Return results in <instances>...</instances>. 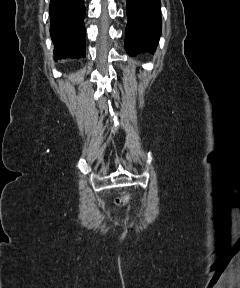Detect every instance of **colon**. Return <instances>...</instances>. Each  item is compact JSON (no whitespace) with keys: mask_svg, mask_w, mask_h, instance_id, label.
<instances>
[{"mask_svg":"<svg viewBox=\"0 0 240 288\" xmlns=\"http://www.w3.org/2000/svg\"><path fill=\"white\" fill-rule=\"evenodd\" d=\"M127 200H128V197H127V196H122V197H120L119 199H117V203H119V204H124V203L127 202Z\"/></svg>","mask_w":240,"mask_h":288,"instance_id":"colon-1","label":"colon"}]
</instances>
